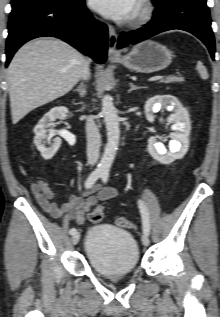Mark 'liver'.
<instances>
[{
	"mask_svg": "<svg viewBox=\"0 0 220 317\" xmlns=\"http://www.w3.org/2000/svg\"><path fill=\"white\" fill-rule=\"evenodd\" d=\"M85 63L76 49L59 39L40 38L23 45L7 71L12 123L67 94L81 78Z\"/></svg>",
	"mask_w": 220,
	"mask_h": 317,
	"instance_id": "liver-1",
	"label": "liver"
}]
</instances>
